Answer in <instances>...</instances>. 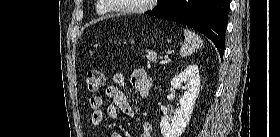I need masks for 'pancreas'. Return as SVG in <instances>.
I'll return each mask as SVG.
<instances>
[{
	"mask_svg": "<svg viewBox=\"0 0 280 137\" xmlns=\"http://www.w3.org/2000/svg\"><path fill=\"white\" fill-rule=\"evenodd\" d=\"M146 57L149 61L155 62L157 59V55L154 52H147Z\"/></svg>",
	"mask_w": 280,
	"mask_h": 137,
	"instance_id": "1",
	"label": "pancreas"
}]
</instances>
